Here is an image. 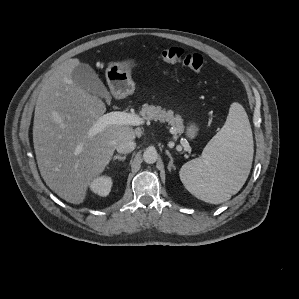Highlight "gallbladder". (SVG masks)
Segmentation results:
<instances>
[{
  "label": "gallbladder",
  "instance_id": "bac80fb5",
  "mask_svg": "<svg viewBox=\"0 0 299 299\" xmlns=\"http://www.w3.org/2000/svg\"><path fill=\"white\" fill-rule=\"evenodd\" d=\"M71 76L73 82L82 90L100 97L109 98V92L88 64L79 63L72 70Z\"/></svg>",
  "mask_w": 299,
  "mask_h": 299
}]
</instances>
